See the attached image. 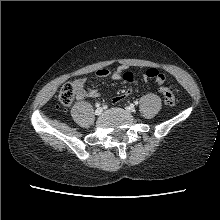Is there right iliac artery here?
I'll use <instances>...</instances> for the list:
<instances>
[{
	"label": "right iliac artery",
	"instance_id": "1",
	"mask_svg": "<svg viewBox=\"0 0 220 220\" xmlns=\"http://www.w3.org/2000/svg\"><path fill=\"white\" fill-rule=\"evenodd\" d=\"M100 106V103H96V107H99Z\"/></svg>",
	"mask_w": 220,
	"mask_h": 220
}]
</instances>
